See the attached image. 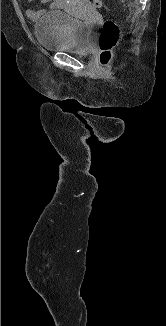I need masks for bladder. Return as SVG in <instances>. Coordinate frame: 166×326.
<instances>
[{"label":"bladder","mask_w":166,"mask_h":326,"mask_svg":"<svg viewBox=\"0 0 166 326\" xmlns=\"http://www.w3.org/2000/svg\"><path fill=\"white\" fill-rule=\"evenodd\" d=\"M80 1L84 12L97 14L86 0ZM34 29L40 46L45 50L72 52L78 55L91 53L90 26L70 13L59 10L47 11L36 21Z\"/></svg>","instance_id":"obj_1"}]
</instances>
